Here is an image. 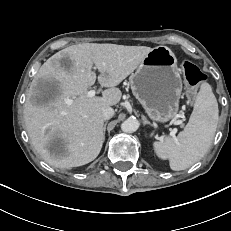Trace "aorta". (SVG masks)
Segmentation results:
<instances>
[{"label": "aorta", "instance_id": "762f6f07", "mask_svg": "<svg viewBox=\"0 0 231 231\" xmlns=\"http://www.w3.org/2000/svg\"><path fill=\"white\" fill-rule=\"evenodd\" d=\"M139 121L135 118H128L121 124V129L126 133H133L139 128Z\"/></svg>", "mask_w": 231, "mask_h": 231}]
</instances>
